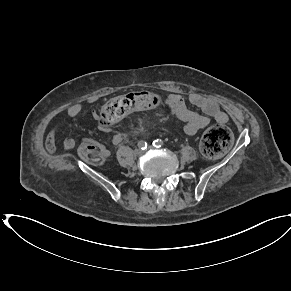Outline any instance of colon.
<instances>
[{
    "instance_id": "1",
    "label": "colon",
    "mask_w": 291,
    "mask_h": 291,
    "mask_svg": "<svg viewBox=\"0 0 291 291\" xmlns=\"http://www.w3.org/2000/svg\"><path fill=\"white\" fill-rule=\"evenodd\" d=\"M160 98L149 91H135L108 101L102 108L99 122L102 126L114 124L123 117L137 111H147L159 106ZM230 130L221 124L211 126L201 139L203 153L211 158L225 153L232 145ZM80 155L87 162L100 165L105 161V150L93 142H85L80 147Z\"/></svg>"
}]
</instances>
